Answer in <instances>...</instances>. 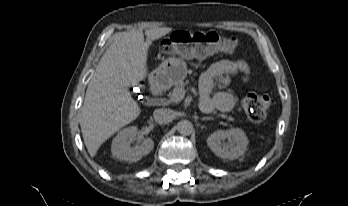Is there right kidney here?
Here are the masks:
<instances>
[{
	"label": "right kidney",
	"mask_w": 348,
	"mask_h": 206,
	"mask_svg": "<svg viewBox=\"0 0 348 206\" xmlns=\"http://www.w3.org/2000/svg\"><path fill=\"white\" fill-rule=\"evenodd\" d=\"M134 140H138L139 143L135 147H131L130 143ZM153 146L154 142L152 139L143 138L138 132L137 127L130 126L121 130L113 139L111 152L119 160L136 162L149 154Z\"/></svg>",
	"instance_id": "right-kidney-1"
}]
</instances>
